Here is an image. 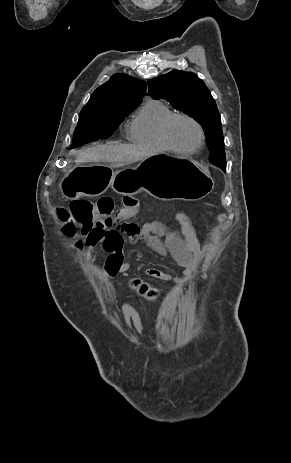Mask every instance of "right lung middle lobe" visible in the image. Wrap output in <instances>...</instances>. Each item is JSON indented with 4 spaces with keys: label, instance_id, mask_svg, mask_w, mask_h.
Returning <instances> with one entry per match:
<instances>
[{
    "label": "right lung middle lobe",
    "instance_id": "dd1d6c3e",
    "mask_svg": "<svg viewBox=\"0 0 291 463\" xmlns=\"http://www.w3.org/2000/svg\"><path fill=\"white\" fill-rule=\"evenodd\" d=\"M136 105L82 109L74 132L72 148L109 137Z\"/></svg>",
    "mask_w": 291,
    "mask_h": 463
}]
</instances>
